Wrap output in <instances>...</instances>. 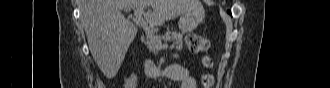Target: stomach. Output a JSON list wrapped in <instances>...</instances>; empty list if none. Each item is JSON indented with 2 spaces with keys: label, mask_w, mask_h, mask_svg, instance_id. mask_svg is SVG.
Wrapping results in <instances>:
<instances>
[{
  "label": "stomach",
  "mask_w": 330,
  "mask_h": 88,
  "mask_svg": "<svg viewBox=\"0 0 330 88\" xmlns=\"http://www.w3.org/2000/svg\"><path fill=\"white\" fill-rule=\"evenodd\" d=\"M205 11L198 0L193 1V5L189 11L183 13L179 19L178 26L183 33L194 31L203 21Z\"/></svg>",
  "instance_id": "1"
}]
</instances>
